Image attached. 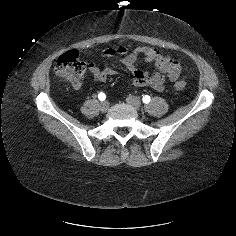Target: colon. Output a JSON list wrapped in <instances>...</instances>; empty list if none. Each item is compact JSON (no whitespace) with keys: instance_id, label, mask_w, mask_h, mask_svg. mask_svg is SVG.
Instances as JSON below:
<instances>
[{"instance_id":"1","label":"colon","mask_w":236,"mask_h":236,"mask_svg":"<svg viewBox=\"0 0 236 236\" xmlns=\"http://www.w3.org/2000/svg\"><path fill=\"white\" fill-rule=\"evenodd\" d=\"M54 70L58 76L68 81L73 86L78 87L86 72V63L80 59L77 51L71 50L57 58ZM185 87V81H178L174 85L176 90H182Z\"/></svg>"}]
</instances>
